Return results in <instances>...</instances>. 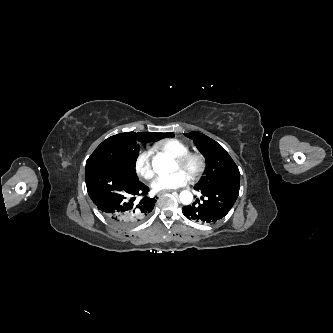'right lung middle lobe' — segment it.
Masks as SVG:
<instances>
[{
    "label": "right lung middle lobe",
    "instance_id": "obj_1",
    "mask_svg": "<svg viewBox=\"0 0 333 333\" xmlns=\"http://www.w3.org/2000/svg\"><path fill=\"white\" fill-rule=\"evenodd\" d=\"M174 136L173 133H157L158 138ZM139 147L129 141L124 133L109 137L103 141L86 162L90 167H105L119 171L138 179L135 164Z\"/></svg>",
    "mask_w": 333,
    "mask_h": 333
}]
</instances>
